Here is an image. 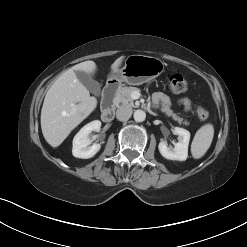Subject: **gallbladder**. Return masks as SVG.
I'll use <instances>...</instances> for the list:
<instances>
[{"mask_svg": "<svg viewBox=\"0 0 247 247\" xmlns=\"http://www.w3.org/2000/svg\"><path fill=\"white\" fill-rule=\"evenodd\" d=\"M76 76L79 81L94 95H99L101 87L97 81H95L90 74L84 71H76Z\"/></svg>", "mask_w": 247, "mask_h": 247, "instance_id": "1", "label": "gallbladder"}]
</instances>
